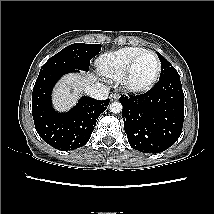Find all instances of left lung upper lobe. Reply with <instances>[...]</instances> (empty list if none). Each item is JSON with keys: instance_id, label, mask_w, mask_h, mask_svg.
Returning a JSON list of instances; mask_svg holds the SVG:
<instances>
[{"instance_id": "1", "label": "left lung upper lobe", "mask_w": 214, "mask_h": 214, "mask_svg": "<svg viewBox=\"0 0 214 214\" xmlns=\"http://www.w3.org/2000/svg\"><path fill=\"white\" fill-rule=\"evenodd\" d=\"M157 54L161 61V74L159 79L170 76H179L176 69L160 53Z\"/></svg>"}]
</instances>
